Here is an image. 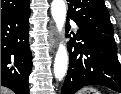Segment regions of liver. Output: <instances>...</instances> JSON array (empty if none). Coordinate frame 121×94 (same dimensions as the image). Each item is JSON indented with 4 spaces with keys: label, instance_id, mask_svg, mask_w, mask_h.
<instances>
[{
    "label": "liver",
    "instance_id": "liver-1",
    "mask_svg": "<svg viewBox=\"0 0 121 94\" xmlns=\"http://www.w3.org/2000/svg\"><path fill=\"white\" fill-rule=\"evenodd\" d=\"M1 94H13V92L11 90L1 86Z\"/></svg>",
    "mask_w": 121,
    "mask_h": 94
}]
</instances>
